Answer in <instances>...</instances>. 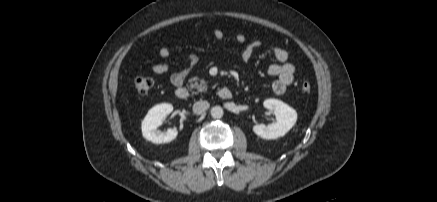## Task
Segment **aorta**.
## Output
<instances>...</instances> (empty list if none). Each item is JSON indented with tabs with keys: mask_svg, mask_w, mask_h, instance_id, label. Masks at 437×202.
<instances>
[{
	"mask_svg": "<svg viewBox=\"0 0 437 202\" xmlns=\"http://www.w3.org/2000/svg\"><path fill=\"white\" fill-rule=\"evenodd\" d=\"M223 114H224V111H223V108H222L221 106H214V107L211 109V116H212L214 119H220V118H222V117H223Z\"/></svg>",
	"mask_w": 437,
	"mask_h": 202,
	"instance_id": "aorta-1",
	"label": "aorta"
}]
</instances>
